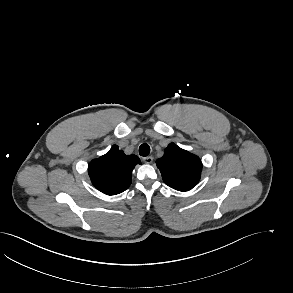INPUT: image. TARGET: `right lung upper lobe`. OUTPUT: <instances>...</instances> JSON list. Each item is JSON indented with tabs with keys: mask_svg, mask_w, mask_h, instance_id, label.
Returning <instances> with one entry per match:
<instances>
[{
	"mask_svg": "<svg viewBox=\"0 0 293 293\" xmlns=\"http://www.w3.org/2000/svg\"><path fill=\"white\" fill-rule=\"evenodd\" d=\"M140 163L136 155H125L117 145H113L107 154L90 162L88 173L99 191L116 195L130 186L132 171Z\"/></svg>",
	"mask_w": 293,
	"mask_h": 293,
	"instance_id": "1",
	"label": "right lung upper lobe"
}]
</instances>
